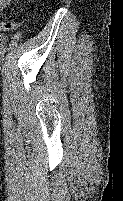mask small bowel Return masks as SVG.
Listing matches in <instances>:
<instances>
[{
	"mask_svg": "<svg viewBox=\"0 0 123 201\" xmlns=\"http://www.w3.org/2000/svg\"><path fill=\"white\" fill-rule=\"evenodd\" d=\"M11 0H0V8L5 6L6 4L10 3ZM20 28V23L15 21H5L0 22V32L7 31V30H17Z\"/></svg>",
	"mask_w": 123,
	"mask_h": 201,
	"instance_id": "c3829d8e",
	"label": "small bowel"
}]
</instances>
